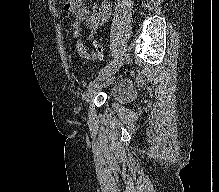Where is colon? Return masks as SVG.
<instances>
[{"label":"colon","mask_w":219,"mask_h":192,"mask_svg":"<svg viewBox=\"0 0 219 192\" xmlns=\"http://www.w3.org/2000/svg\"><path fill=\"white\" fill-rule=\"evenodd\" d=\"M93 47H94V53L95 55L102 57L104 56L105 53V49L102 45V43L99 40H95L93 43Z\"/></svg>","instance_id":"colon-1"}]
</instances>
